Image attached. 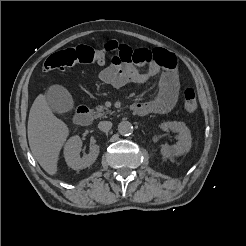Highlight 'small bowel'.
I'll use <instances>...</instances> for the list:
<instances>
[{"mask_svg":"<svg viewBox=\"0 0 246 246\" xmlns=\"http://www.w3.org/2000/svg\"><path fill=\"white\" fill-rule=\"evenodd\" d=\"M103 51L111 55V63L104 68L99 79L102 83L120 88L128 83L145 84L152 77L160 75L159 92L152 100L133 105L140 115L165 114L177 103L180 82L177 60L173 53L162 49L134 50L129 45L115 40L104 43ZM147 67L142 71L139 67Z\"/></svg>","mask_w":246,"mask_h":246,"instance_id":"obj_1","label":"small bowel"}]
</instances>
